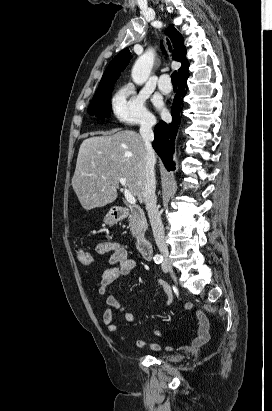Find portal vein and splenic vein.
I'll return each mask as SVG.
<instances>
[{"mask_svg": "<svg viewBox=\"0 0 272 411\" xmlns=\"http://www.w3.org/2000/svg\"><path fill=\"white\" fill-rule=\"evenodd\" d=\"M119 182L122 186L125 187L124 189V196L125 199L127 200V202L129 204H136V198L133 196V194L126 188L127 187V183H126V179L125 178H119Z\"/></svg>", "mask_w": 272, "mask_h": 411, "instance_id": "1", "label": "portal vein and splenic vein"}]
</instances>
